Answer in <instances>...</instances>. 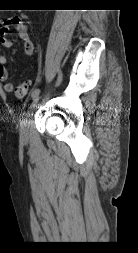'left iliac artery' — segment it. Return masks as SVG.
<instances>
[{"label": "left iliac artery", "instance_id": "1", "mask_svg": "<svg viewBox=\"0 0 138 253\" xmlns=\"http://www.w3.org/2000/svg\"><path fill=\"white\" fill-rule=\"evenodd\" d=\"M62 78H63L62 72H59L58 77H57V81H56V86H58L61 83ZM40 92H41L40 89L33 90L32 94H31L32 99L38 97V95L40 94Z\"/></svg>", "mask_w": 138, "mask_h": 253}]
</instances>
